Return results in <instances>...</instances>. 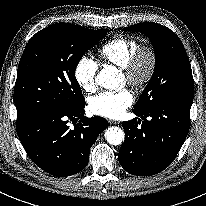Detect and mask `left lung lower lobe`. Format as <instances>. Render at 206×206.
Instances as JSON below:
<instances>
[{"label": "left lung lower lobe", "instance_id": "obj_1", "mask_svg": "<svg viewBox=\"0 0 206 206\" xmlns=\"http://www.w3.org/2000/svg\"><path fill=\"white\" fill-rule=\"evenodd\" d=\"M192 102L158 103L123 122L125 140L119 151V162L137 176L154 175L164 170L176 157L190 127Z\"/></svg>", "mask_w": 206, "mask_h": 206}]
</instances>
